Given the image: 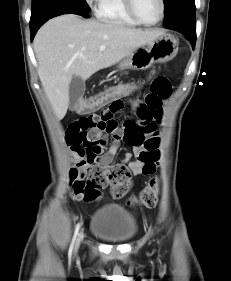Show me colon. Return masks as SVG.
<instances>
[{
    "mask_svg": "<svg viewBox=\"0 0 231 281\" xmlns=\"http://www.w3.org/2000/svg\"><path fill=\"white\" fill-rule=\"evenodd\" d=\"M151 76L138 81L120 82L110 86L106 90L81 101L77 105L79 113H89L96 111L114 101L122 100L139 92L150 80ZM107 185L111 188V193L115 198L124 196L131 187V173L124 165H117L110 169L101 167L94 168L87 181H76L73 183V194L80 200L92 202L99 199L101 190ZM159 179L157 177L150 180L148 186L143 190L138 198H132L129 204L138 203L146 207H154L158 201Z\"/></svg>",
    "mask_w": 231,
    "mask_h": 281,
    "instance_id": "1",
    "label": "colon"
}]
</instances>
